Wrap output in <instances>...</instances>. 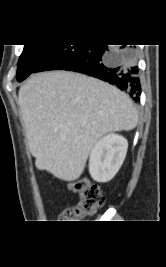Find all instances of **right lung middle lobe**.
Segmentation results:
<instances>
[{
	"label": "right lung middle lobe",
	"mask_w": 166,
	"mask_h": 267,
	"mask_svg": "<svg viewBox=\"0 0 166 267\" xmlns=\"http://www.w3.org/2000/svg\"><path fill=\"white\" fill-rule=\"evenodd\" d=\"M58 45H24L23 52L18 61L17 80L23 81L53 52Z\"/></svg>",
	"instance_id": "1"
}]
</instances>
